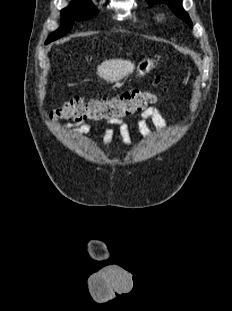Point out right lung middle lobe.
I'll return each mask as SVG.
<instances>
[{
    "mask_svg": "<svg viewBox=\"0 0 232 311\" xmlns=\"http://www.w3.org/2000/svg\"><path fill=\"white\" fill-rule=\"evenodd\" d=\"M98 13V9L90 1H73L61 10V26L51 33L45 44H48L69 32L75 21L88 19Z\"/></svg>",
    "mask_w": 232,
    "mask_h": 311,
    "instance_id": "obj_1",
    "label": "right lung middle lobe"
}]
</instances>
